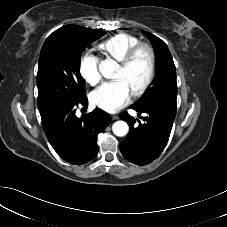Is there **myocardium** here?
I'll return each instance as SVG.
<instances>
[{
  "mask_svg": "<svg viewBox=\"0 0 227 227\" xmlns=\"http://www.w3.org/2000/svg\"><path fill=\"white\" fill-rule=\"evenodd\" d=\"M141 52H145L148 57V73L140 86L132 92L134 97H139L144 94L155 78L157 68L155 51L150 44L140 42L133 46L120 61V67L122 69H127L133 64Z\"/></svg>",
  "mask_w": 227,
  "mask_h": 227,
  "instance_id": "f54148a6",
  "label": "myocardium"
}]
</instances>
